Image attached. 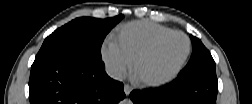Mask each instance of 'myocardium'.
<instances>
[{
  "mask_svg": "<svg viewBox=\"0 0 252 104\" xmlns=\"http://www.w3.org/2000/svg\"><path fill=\"white\" fill-rule=\"evenodd\" d=\"M183 36H184V38H185L186 41H187V52H186V54L182 57V59L180 60V62L177 64V66H175V67L173 68V70H174V69H177V68L184 62V60L186 59L187 54H188V52H189V48H190V39H189V37H188L187 35H185V34H183ZM144 54H145V50L142 51V52H139V53L133 58V69H134V70H136L138 63L143 59ZM141 80L147 82V81L151 80V78H142Z\"/></svg>",
  "mask_w": 252,
  "mask_h": 104,
  "instance_id": "myocardium-1",
  "label": "myocardium"
}]
</instances>
